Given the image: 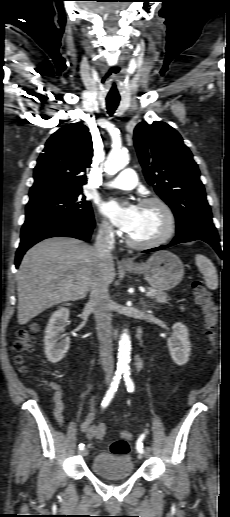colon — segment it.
Segmentation results:
<instances>
[{
  "label": "colon",
  "mask_w": 230,
  "mask_h": 517,
  "mask_svg": "<svg viewBox=\"0 0 230 517\" xmlns=\"http://www.w3.org/2000/svg\"><path fill=\"white\" fill-rule=\"evenodd\" d=\"M192 289L195 301L202 310L206 334L211 345L210 351H212L215 344L216 327L218 324L217 306L214 303L210 292L205 288L201 281H194L192 283ZM38 328L39 325L35 323L30 328L20 329L17 332V340L14 343V349L17 352L15 360L19 365H21L22 369H25V355L31 351L33 347V343L35 341L34 333ZM129 450L130 444L128 439L125 437L115 440L110 446V451L117 455H126L129 453Z\"/></svg>",
  "instance_id": "1"
}]
</instances>
